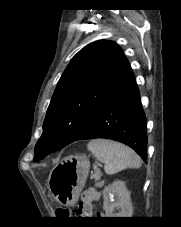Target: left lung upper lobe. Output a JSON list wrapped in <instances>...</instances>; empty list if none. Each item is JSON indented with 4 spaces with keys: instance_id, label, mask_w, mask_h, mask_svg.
<instances>
[{
    "instance_id": "obj_1",
    "label": "left lung upper lobe",
    "mask_w": 181,
    "mask_h": 227,
    "mask_svg": "<svg viewBox=\"0 0 181 227\" xmlns=\"http://www.w3.org/2000/svg\"><path fill=\"white\" fill-rule=\"evenodd\" d=\"M132 73L121 48L95 41L79 51L62 74L35 146L34 161L76 141L95 112Z\"/></svg>"
}]
</instances>
